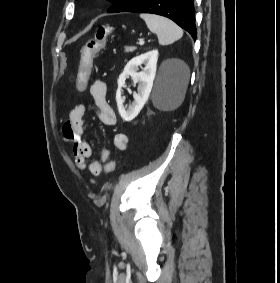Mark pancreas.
I'll use <instances>...</instances> for the list:
<instances>
[{
  "label": "pancreas",
  "instance_id": "cf45deb5",
  "mask_svg": "<svg viewBox=\"0 0 280 283\" xmlns=\"http://www.w3.org/2000/svg\"><path fill=\"white\" fill-rule=\"evenodd\" d=\"M136 50V47H133V46H126L125 47V52L126 53H132Z\"/></svg>",
  "mask_w": 280,
  "mask_h": 283
}]
</instances>
